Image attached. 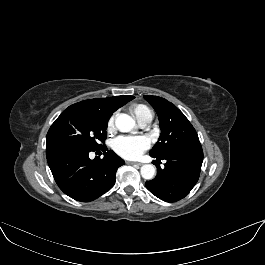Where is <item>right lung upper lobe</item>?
Listing matches in <instances>:
<instances>
[{
  "label": "right lung upper lobe",
  "mask_w": 265,
  "mask_h": 265,
  "mask_svg": "<svg viewBox=\"0 0 265 265\" xmlns=\"http://www.w3.org/2000/svg\"><path fill=\"white\" fill-rule=\"evenodd\" d=\"M134 98V96L124 95L110 98L89 99L78 102L71 106L91 108L110 118L113 112Z\"/></svg>",
  "instance_id": "obj_1"
}]
</instances>
